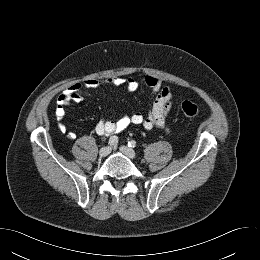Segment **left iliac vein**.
<instances>
[{"label":"left iliac vein","instance_id":"4c4485c4","mask_svg":"<svg viewBox=\"0 0 260 260\" xmlns=\"http://www.w3.org/2000/svg\"><path fill=\"white\" fill-rule=\"evenodd\" d=\"M120 151L130 159H134L136 157L135 151L127 146H121Z\"/></svg>","mask_w":260,"mask_h":260}]
</instances>
